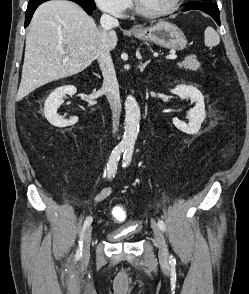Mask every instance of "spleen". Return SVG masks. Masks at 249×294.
<instances>
[{"label":"spleen","mask_w":249,"mask_h":294,"mask_svg":"<svg viewBox=\"0 0 249 294\" xmlns=\"http://www.w3.org/2000/svg\"><path fill=\"white\" fill-rule=\"evenodd\" d=\"M204 36L205 45L208 47H214L220 43V37L218 33L210 26L205 29Z\"/></svg>","instance_id":"spleen-1"}]
</instances>
